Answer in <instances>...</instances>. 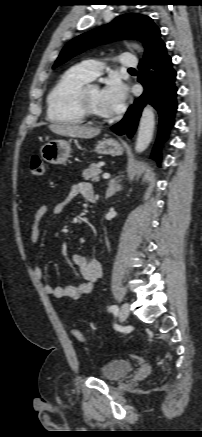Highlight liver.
I'll return each instance as SVG.
<instances>
[{
	"mask_svg": "<svg viewBox=\"0 0 202 437\" xmlns=\"http://www.w3.org/2000/svg\"><path fill=\"white\" fill-rule=\"evenodd\" d=\"M48 128L55 134L74 138H93L100 134L99 128L80 126L67 123L50 124Z\"/></svg>",
	"mask_w": 202,
	"mask_h": 437,
	"instance_id": "liver-1",
	"label": "liver"
}]
</instances>
